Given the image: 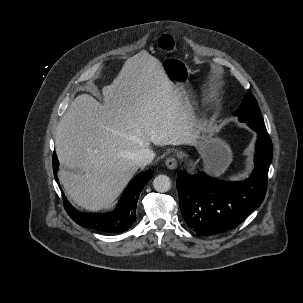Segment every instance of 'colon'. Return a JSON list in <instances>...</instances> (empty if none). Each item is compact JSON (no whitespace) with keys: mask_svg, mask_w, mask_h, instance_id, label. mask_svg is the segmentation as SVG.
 Segmentation results:
<instances>
[{"mask_svg":"<svg viewBox=\"0 0 303 303\" xmlns=\"http://www.w3.org/2000/svg\"><path fill=\"white\" fill-rule=\"evenodd\" d=\"M159 47L167 52H172L176 49L174 38L171 35H163L159 40Z\"/></svg>","mask_w":303,"mask_h":303,"instance_id":"colon-1","label":"colon"}]
</instances>
